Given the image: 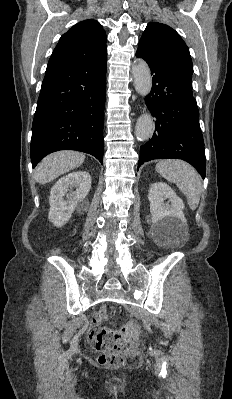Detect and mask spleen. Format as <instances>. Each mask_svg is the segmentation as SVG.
<instances>
[{"mask_svg":"<svg viewBox=\"0 0 232 399\" xmlns=\"http://www.w3.org/2000/svg\"><path fill=\"white\" fill-rule=\"evenodd\" d=\"M168 182L176 184L182 194L186 196L188 205L191 209H196L199 205L202 192L201 176L187 162L182 160H162L155 168Z\"/></svg>","mask_w":232,"mask_h":399,"instance_id":"obj_1","label":"spleen"}]
</instances>
